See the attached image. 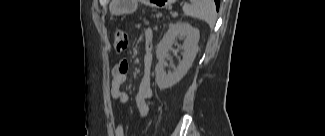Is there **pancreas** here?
<instances>
[{
  "label": "pancreas",
  "mask_w": 325,
  "mask_h": 136,
  "mask_svg": "<svg viewBox=\"0 0 325 136\" xmlns=\"http://www.w3.org/2000/svg\"><path fill=\"white\" fill-rule=\"evenodd\" d=\"M150 19H155L156 24H163L165 22V19L168 18L167 12H159L158 9H153L152 12L149 13Z\"/></svg>",
  "instance_id": "obj_1"
}]
</instances>
